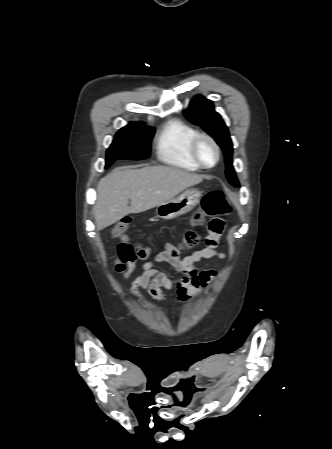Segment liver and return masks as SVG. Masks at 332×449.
<instances>
[{
  "label": "liver",
  "mask_w": 332,
  "mask_h": 449,
  "mask_svg": "<svg viewBox=\"0 0 332 449\" xmlns=\"http://www.w3.org/2000/svg\"><path fill=\"white\" fill-rule=\"evenodd\" d=\"M202 180L201 175L170 166L115 168L97 186L93 207L97 229L102 230L130 213H141L163 204Z\"/></svg>",
  "instance_id": "liver-1"
}]
</instances>
